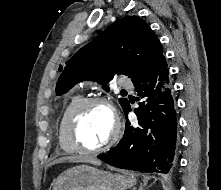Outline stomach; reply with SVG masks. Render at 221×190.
<instances>
[{
	"label": "stomach",
	"instance_id": "stomach-1",
	"mask_svg": "<svg viewBox=\"0 0 221 190\" xmlns=\"http://www.w3.org/2000/svg\"><path fill=\"white\" fill-rule=\"evenodd\" d=\"M135 184L133 176L80 165L61 173L52 187L53 190H126Z\"/></svg>",
	"mask_w": 221,
	"mask_h": 190
}]
</instances>
